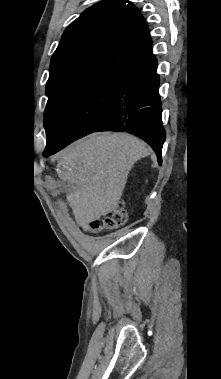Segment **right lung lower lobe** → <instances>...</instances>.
Returning a JSON list of instances; mask_svg holds the SVG:
<instances>
[{
  "mask_svg": "<svg viewBox=\"0 0 221 379\" xmlns=\"http://www.w3.org/2000/svg\"><path fill=\"white\" fill-rule=\"evenodd\" d=\"M154 59L124 75L119 83L114 104L100 125L93 131L132 133L147 142L161 165L162 146L166 132L162 125V108L158 93L159 76ZM74 140L59 141L46 147L43 156L58 152Z\"/></svg>",
  "mask_w": 221,
  "mask_h": 379,
  "instance_id": "right-lung-lower-lobe-1",
  "label": "right lung lower lobe"
}]
</instances>
